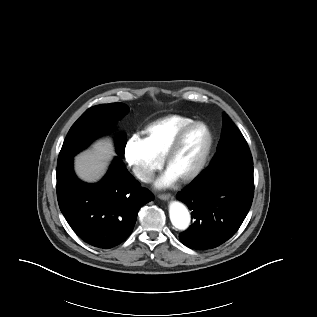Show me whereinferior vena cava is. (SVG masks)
<instances>
[{
	"instance_id": "inferior-vena-cava-1",
	"label": "inferior vena cava",
	"mask_w": 317,
	"mask_h": 317,
	"mask_svg": "<svg viewBox=\"0 0 317 317\" xmlns=\"http://www.w3.org/2000/svg\"><path fill=\"white\" fill-rule=\"evenodd\" d=\"M134 173L137 178H139L142 182H145V183L152 182L154 179L153 171L142 170L141 168L136 167L134 169Z\"/></svg>"
}]
</instances>
